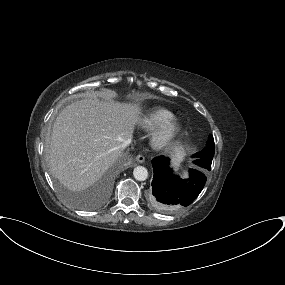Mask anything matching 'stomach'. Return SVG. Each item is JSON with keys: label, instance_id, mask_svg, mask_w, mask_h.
Masks as SVG:
<instances>
[{"label": "stomach", "instance_id": "obj_1", "mask_svg": "<svg viewBox=\"0 0 285 285\" xmlns=\"http://www.w3.org/2000/svg\"><path fill=\"white\" fill-rule=\"evenodd\" d=\"M181 160V157L179 156V157H177V161H180Z\"/></svg>", "mask_w": 285, "mask_h": 285}]
</instances>
